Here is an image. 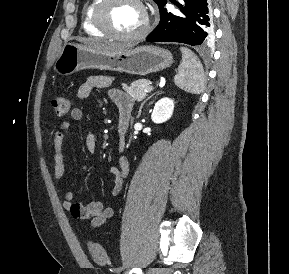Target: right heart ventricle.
Wrapping results in <instances>:
<instances>
[{"label": "right heart ventricle", "instance_id": "obj_1", "mask_svg": "<svg viewBox=\"0 0 289 274\" xmlns=\"http://www.w3.org/2000/svg\"><path fill=\"white\" fill-rule=\"evenodd\" d=\"M98 2L99 0H88L85 3L82 12V26L87 34L91 36L103 37L104 34L98 28H96L93 22V12Z\"/></svg>", "mask_w": 289, "mask_h": 274}]
</instances>
